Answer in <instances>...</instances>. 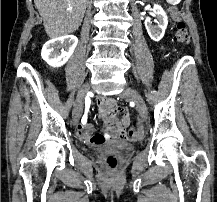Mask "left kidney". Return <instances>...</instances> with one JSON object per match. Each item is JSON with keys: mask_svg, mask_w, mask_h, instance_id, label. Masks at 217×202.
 I'll list each match as a JSON object with an SVG mask.
<instances>
[{"mask_svg": "<svg viewBox=\"0 0 217 202\" xmlns=\"http://www.w3.org/2000/svg\"><path fill=\"white\" fill-rule=\"evenodd\" d=\"M153 14L154 16H157V26H152L151 20H145L144 24L151 40H154V42H160L168 26V18L163 8H161V6H157V4H155L153 8Z\"/></svg>", "mask_w": 217, "mask_h": 202, "instance_id": "obj_1", "label": "left kidney"}]
</instances>
